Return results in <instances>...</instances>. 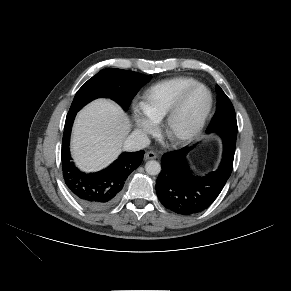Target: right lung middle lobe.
I'll return each mask as SVG.
<instances>
[{"label":"right lung middle lobe","mask_w":291,"mask_h":291,"mask_svg":"<svg viewBox=\"0 0 291 291\" xmlns=\"http://www.w3.org/2000/svg\"><path fill=\"white\" fill-rule=\"evenodd\" d=\"M150 79L151 76L133 71L114 68L101 70L78 90L69 113L79 111L99 97H109L127 110L139 89Z\"/></svg>","instance_id":"obj_1"}]
</instances>
